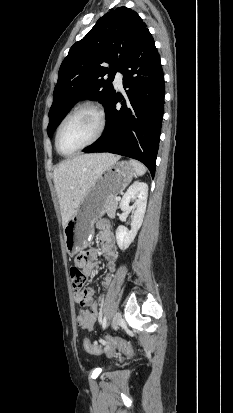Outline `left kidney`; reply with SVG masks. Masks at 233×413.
Wrapping results in <instances>:
<instances>
[{
	"instance_id": "left-kidney-1",
	"label": "left kidney",
	"mask_w": 233,
	"mask_h": 413,
	"mask_svg": "<svg viewBox=\"0 0 233 413\" xmlns=\"http://www.w3.org/2000/svg\"><path fill=\"white\" fill-rule=\"evenodd\" d=\"M147 197L148 185L144 182L136 181L128 188L120 202V209L124 212H130L133 208L130 207L129 204L131 201L136 200L131 230H127L124 226H119L116 230V240L121 250L129 247L142 225L146 211Z\"/></svg>"
}]
</instances>
